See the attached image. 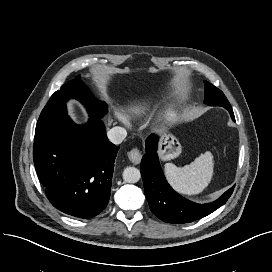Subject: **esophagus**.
Returning a JSON list of instances; mask_svg holds the SVG:
<instances>
[{
  "label": "esophagus",
  "mask_w": 272,
  "mask_h": 272,
  "mask_svg": "<svg viewBox=\"0 0 272 272\" xmlns=\"http://www.w3.org/2000/svg\"><path fill=\"white\" fill-rule=\"evenodd\" d=\"M128 158L133 164H139L142 154L138 148H133L128 152Z\"/></svg>",
  "instance_id": "esophagus-1"
}]
</instances>
